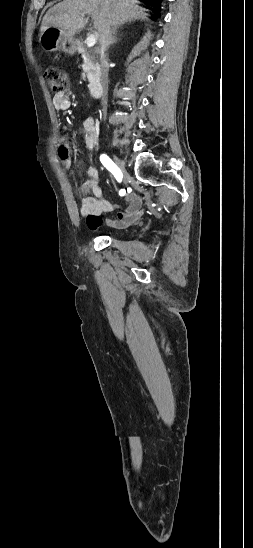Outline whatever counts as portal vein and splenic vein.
I'll use <instances>...</instances> for the list:
<instances>
[{
    "label": "portal vein and splenic vein",
    "instance_id": "portal-vein-and-splenic-vein-1",
    "mask_svg": "<svg viewBox=\"0 0 253 548\" xmlns=\"http://www.w3.org/2000/svg\"><path fill=\"white\" fill-rule=\"evenodd\" d=\"M87 14V12H83L82 15ZM97 36L96 35H89L86 39V45L88 48L93 47L96 44Z\"/></svg>",
    "mask_w": 253,
    "mask_h": 548
}]
</instances>
